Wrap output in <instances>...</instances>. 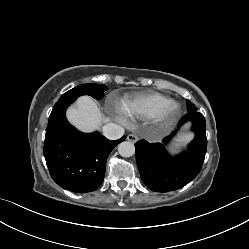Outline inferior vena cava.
<instances>
[{"label": "inferior vena cava", "instance_id": "obj_1", "mask_svg": "<svg viewBox=\"0 0 249 249\" xmlns=\"http://www.w3.org/2000/svg\"><path fill=\"white\" fill-rule=\"evenodd\" d=\"M103 135L111 140H116L124 135V128L115 123H108L102 127Z\"/></svg>", "mask_w": 249, "mask_h": 249}]
</instances>
